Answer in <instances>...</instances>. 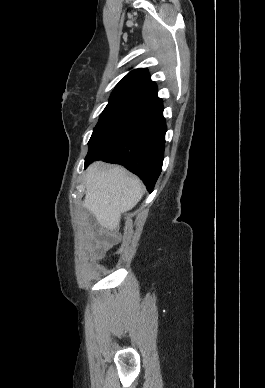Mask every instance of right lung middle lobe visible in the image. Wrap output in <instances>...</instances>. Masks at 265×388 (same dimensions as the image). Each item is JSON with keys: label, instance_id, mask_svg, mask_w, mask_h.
<instances>
[{"label": "right lung middle lobe", "instance_id": "dd1d6c3e", "mask_svg": "<svg viewBox=\"0 0 265 388\" xmlns=\"http://www.w3.org/2000/svg\"><path fill=\"white\" fill-rule=\"evenodd\" d=\"M148 103L146 100L133 96L112 94L88 142V153L134 117Z\"/></svg>", "mask_w": 265, "mask_h": 388}]
</instances>
